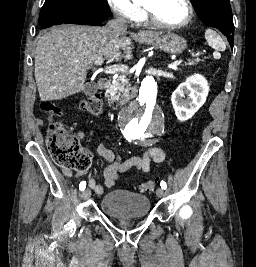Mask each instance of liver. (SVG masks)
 Instances as JSON below:
<instances>
[{
	"label": "liver",
	"instance_id": "1",
	"mask_svg": "<svg viewBox=\"0 0 256 267\" xmlns=\"http://www.w3.org/2000/svg\"><path fill=\"white\" fill-rule=\"evenodd\" d=\"M157 32L132 36L142 40ZM131 40L106 26H53L40 36L35 50V80L42 102L63 100L85 88L87 70L98 60H131Z\"/></svg>",
	"mask_w": 256,
	"mask_h": 267
}]
</instances>
